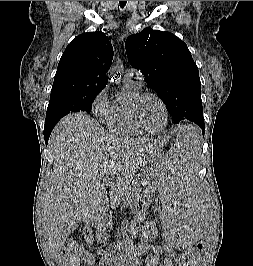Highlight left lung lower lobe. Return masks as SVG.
Returning a JSON list of instances; mask_svg holds the SVG:
<instances>
[{"instance_id": "0a47b994", "label": "left lung lower lobe", "mask_w": 253, "mask_h": 266, "mask_svg": "<svg viewBox=\"0 0 253 266\" xmlns=\"http://www.w3.org/2000/svg\"><path fill=\"white\" fill-rule=\"evenodd\" d=\"M199 127H201L204 130L205 129V124H201Z\"/></svg>"}]
</instances>
